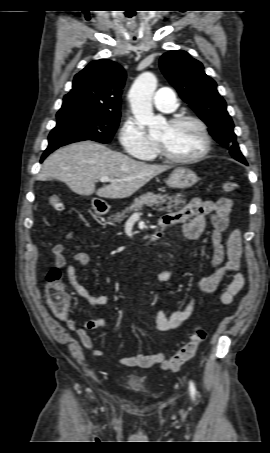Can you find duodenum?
<instances>
[{
  "instance_id": "obj_1",
  "label": "duodenum",
  "mask_w": 270,
  "mask_h": 453,
  "mask_svg": "<svg viewBox=\"0 0 270 453\" xmlns=\"http://www.w3.org/2000/svg\"><path fill=\"white\" fill-rule=\"evenodd\" d=\"M98 214L100 215H104V214H107L108 212V209L107 208H99L97 210ZM164 229H165V226L164 224H161L160 225V229L153 235L152 239H157L159 238L160 236L163 235V232H164Z\"/></svg>"
}]
</instances>
